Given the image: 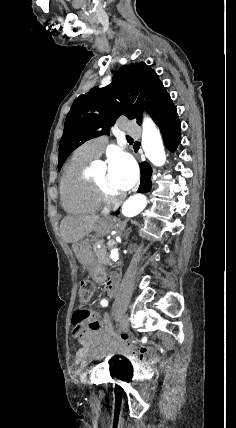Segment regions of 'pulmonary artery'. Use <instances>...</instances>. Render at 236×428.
Segmentation results:
<instances>
[{
	"label": "pulmonary artery",
	"instance_id": "obj_1",
	"mask_svg": "<svg viewBox=\"0 0 236 428\" xmlns=\"http://www.w3.org/2000/svg\"><path fill=\"white\" fill-rule=\"evenodd\" d=\"M104 148L105 146L103 145L93 146L91 145L90 142L88 144H85V152L92 159L98 158L102 153V151L104 150Z\"/></svg>",
	"mask_w": 236,
	"mask_h": 428
}]
</instances>
